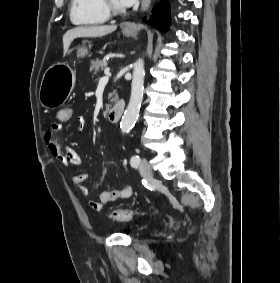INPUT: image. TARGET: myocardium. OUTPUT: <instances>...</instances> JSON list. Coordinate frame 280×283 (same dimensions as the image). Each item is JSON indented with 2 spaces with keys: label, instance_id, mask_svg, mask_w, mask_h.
Returning <instances> with one entry per match:
<instances>
[{
  "label": "myocardium",
  "instance_id": "f54148a6",
  "mask_svg": "<svg viewBox=\"0 0 280 283\" xmlns=\"http://www.w3.org/2000/svg\"><path fill=\"white\" fill-rule=\"evenodd\" d=\"M101 5L104 9V11L109 15V16H118L122 15L126 12L125 8H118L114 6L110 0H100Z\"/></svg>",
  "mask_w": 280,
  "mask_h": 283
}]
</instances>
